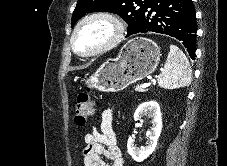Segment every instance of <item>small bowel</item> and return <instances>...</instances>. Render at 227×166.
I'll return each instance as SVG.
<instances>
[{"label":"small bowel","instance_id":"c3829d8e","mask_svg":"<svg viewBox=\"0 0 227 166\" xmlns=\"http://www.w3.org/2000/svg\"><path fill=\"white\" fill-rule=\"evenodd\" d=\"M84 166H123L124 160L116 143L113 129V110L101 112L92 131L85 135Z\"/></svg>","mask_w":227,"mask_h":166}]
</instances>
